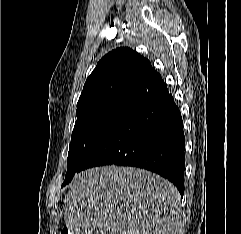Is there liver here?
<instances>
[{
	"label": "liver",
	"mask_w": 241,
	"mask_h": 234,
	"mask_svg": "<svg viewBox=\"0 0 241 234\" xmlns=\"http://www.w3.org/2000/svg\"><path fill=\"white\" fill-rule=\"evenodd\" d=\"M64 203L72 234H176L182 228L178 189L144 169L112 165L78 173Z\"/></svg>",
	"instance_id": "obj_1"
}]
</instances>
